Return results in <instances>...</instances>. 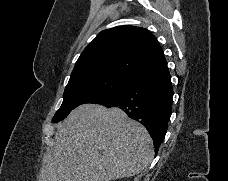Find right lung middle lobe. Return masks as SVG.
I'll use <instances>...</instances> for the list:
<instances>
[{"mask_svg":"<svg viewBox=\"0 0 228 181\" xmlns=\"http://www.w3.org/2000/svg\"><path fill=\"white\" fill-rule=\"evenodd\" d=\"M132 78L99 74L68 82L64 100L52 121L65 119L77 106L85 103L100 104L116 96Z\"/></svg>","mask_w":228,"mask_h":181,"instance_id":"obj_1","label":"right lung middle lobe"}]
</instances>
